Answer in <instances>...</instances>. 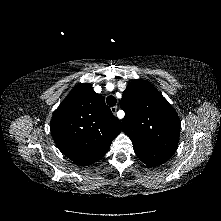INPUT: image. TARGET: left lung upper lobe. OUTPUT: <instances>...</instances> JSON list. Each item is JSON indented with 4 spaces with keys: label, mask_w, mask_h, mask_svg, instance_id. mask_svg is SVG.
Listing matches in <instances>:
<instances>
[{
    "label": "left lung upper lobe",
    "mask_w": 221,
    "mask_h": 221,
    "mask_svg": "<svg viewBox=\"0 0 221 221\" xmlns=\"http://www.w3.org/2000/svg\"><path fill=\"white\" fill-rule=\"evenodd\" d=\"M123 130L137 156L150 167L169 160L180 133V120L162 94L147 80H133L123 92Z\"/></svg>",
    "instance_id": "left-lung-upper-lobe-1"
}]
</instances>
